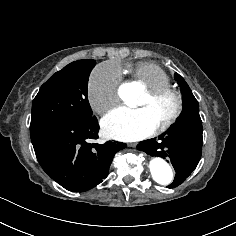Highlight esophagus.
I'll use <instances>...</instances> for the list:
<instances>
[{"label": "esophagus", "mask_w": 236, "mask_h": 236, "mask_svg": "<svg viewBox=\"0 0 236 236\" xmlns=\"http://www.w3.org/2000/svg\"><path fill=\"white\" fill-rule=\"evenodd\" d=\"M136 145H137L136 143H132V144H130L129 146H130V147H136Z\"/></svg>", "instance_id": "obj_1"}]
</instances>
